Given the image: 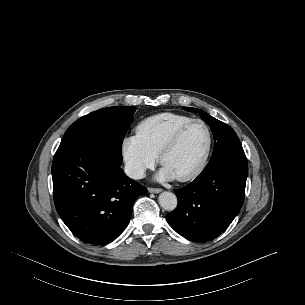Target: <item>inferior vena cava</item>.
<instances>
[{
	"instance_id": "inferior-vena-cava-1",
	"label": "inferior vena cava",
	"mask_w": 305,
	"mask_h": 305,
	"mask_svg": "<svg viewBox=\"0 0 305 305\" xmlns=\"http://www.w3.org/2000/svg\"><path fill=\"white\" fill-rule=\"evenodd\" d=\"M125 174L132 179H142L145 175V169L141 165L126 164L124 168Z\"/></svg>"
}]
</instances>
